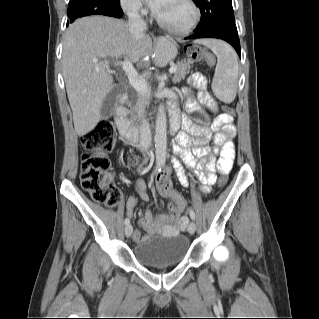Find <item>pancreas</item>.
I'll return each mask as SVG.
<instances>
[{
	"label": "pancreas",
	"instance_id": "pancreas-1",
	"mask_svg": "<svg viewBox=\"0 0 319 319\" xmlns=\"http://www.w3.org/2000/svg\"><path fill=\"white\" fill-rule=\"evenodd\" d=\"M193 61L191 60H182L180 62H177L175 75L173 77V81L175 83L180 82L182 79L186 77V75L189 73L191 67H192ZM145 105H149V99H145L144 101Z\"/></svg>",
	"mask_w": 319,
	"mask_h": 319
}]
</instances>
